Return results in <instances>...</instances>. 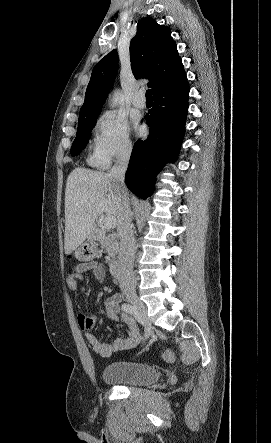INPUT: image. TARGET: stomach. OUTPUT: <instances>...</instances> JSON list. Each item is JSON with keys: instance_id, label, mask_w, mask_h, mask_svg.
<instances>
[{"instance_id": "0dacf381", "label": "stomach", "mask_w": 271, "mask_h": 443, "mask_svg": "<svg viewBox=\"0 0 271 443\" xmlns=\"http://www.w3.org/2000/svg\"><path fill=\"white\" fill-rule=\"evenodd\" d=\"M99 237V231L94 227L93 231H91L90 235H88V239H94V241H97Z\"/></svg>"}]
</instances>
